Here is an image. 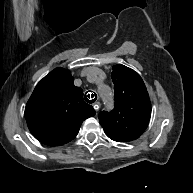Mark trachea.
Wrapping results in <instances>:
<instances>
[{"mask_svg": "<svg viewBox=\"0 0 193 193\" xmlns=\"http://www.w3.org/2000/svg\"><path fill=\"white\" fill-rule=\"evenodd\" d=\"M89 99H91V100H89ZM94 98V95L93 94H91V96H90V94H88L87 96H85V100H86V102L87 103H90V104H92V103H94L95 101H96V99H97V95L95 94V98Z\"/></svg>", "mask_w": 193, "mask_h": 193, "instance_id": "obj_1", "label": "trachea"}]
</instances>
